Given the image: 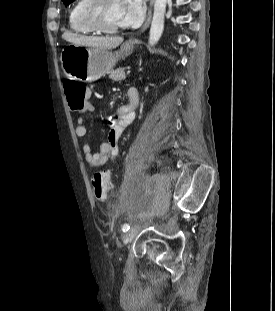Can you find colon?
Returning <instances> with one entry per match:
<instances>
[{"label":"colon","instance_id":"1","mask_svg":"<svg viewBox=\"0 0 275 311\" xmlns=\"http://www.w3.org/2000/svg\"><path fill=\"white\" fill-rule=\"evenodd\" d=\"M64 88L69 107L72 111H89V108L85 107L90 96L87 86L75 80H66ZM92 189L97 200H106L112 189L109 174L107 172L94 173L92 177Z\"/></svg>","mask_w":275,"mask_h":311}]
</instances>
